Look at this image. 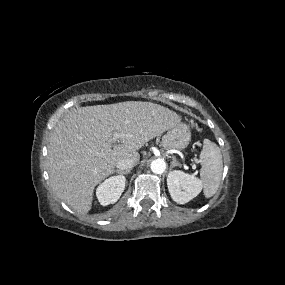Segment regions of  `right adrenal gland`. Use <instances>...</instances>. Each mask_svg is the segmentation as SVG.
<instances>
[{"mask_svg":"<svg viewBox=\"0 0 285 285\" xmlns=\"http://www.w3.org/2000/svg\"><path fill=\"white\" fill-rule=\"evenodd\" d=\"M114 172L118 173V174H129L130 173V170H127V171H121V170H115Z\"/></svg>","mask_w":285,"mask_h":285,"instance_id":"2a0ac1e0","label":"right adrenal gland"}]
</instances>
